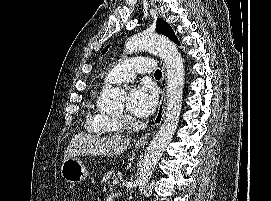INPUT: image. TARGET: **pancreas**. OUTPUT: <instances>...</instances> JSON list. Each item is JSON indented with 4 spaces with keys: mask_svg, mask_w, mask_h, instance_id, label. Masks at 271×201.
Instances as JSON below:
<instances>
[{
    "mask_svg": "<svg viewBox=\"0 0 271 201\" xmlns=\"http://www.w3.org/2000/svg\"><path fill=\"white\" fill-rule=\"evenodd\" d=\"M114 178H115V173L113 170H110L103 176L102 182L109 183L110 179H114Z\"/></svg>",
    "mask_w": 271,
    "mask_h": 201,
    "instance_id": "cf45deb5",
    "label": "pancreas"
}]
</instances>
